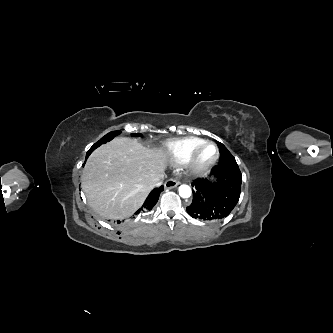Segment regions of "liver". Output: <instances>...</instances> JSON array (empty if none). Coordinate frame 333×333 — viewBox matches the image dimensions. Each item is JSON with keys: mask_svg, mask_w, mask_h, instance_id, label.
Returning <instances> with one entry per match:
<instances>
[{"mask_svg": "<svg viewBox=\"0 0 333 333\" xmlns=\"http://www.w3.org/2000/svg\"><path fill=\"white\" fill-rule=\"evenodd\" d=\"M166 165L163 150L117 137L89 156L81 177L82 189L89 205L102 217L123 219L142 206Z\"/></svg>", "mask_w": 333, "mask_h": 333, "instance_id": "1", "label": "liver"}]
</instances>
